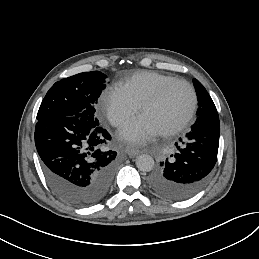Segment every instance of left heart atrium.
<instances>
[{
    "mask_svg": "<svg viewBox=\"0 0 259 259\" xmlns=\"http://www.w3.org/2000/svg\"><path fill=\"white\" fill-rule=\"evenodd\" d=\"M158 134L157 131L149 128L140 118L126 123L119 131L121 138L135 144H144Z\"/></svg>",
    "mask_w": 259,
    "mask_h": 259,
    "instance_id": "1",
    "label": "left heart atrium"
}]
</instances>
